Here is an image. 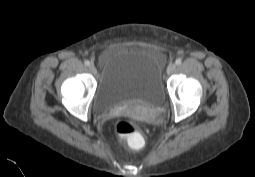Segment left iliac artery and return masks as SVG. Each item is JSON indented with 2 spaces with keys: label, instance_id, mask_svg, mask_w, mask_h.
Returning <instances> with one entry per match:
<instances>
[{
  "label": "left iliac artery",
  "instance_id": "44dca946",
  "mask_svg": "<svg viewBox=\"0 0 255 177\" xmlns=\"http://www.w3.org/2000/svg\"><path fill=\"white\" fill-rule=\"evenodd\" d=\"M176 65H180L182 63V60L180 58L176 59L175 61Z\"/></svg>",
  "mask_w": 255,
  "mask_h": 177
}]
</instances>
